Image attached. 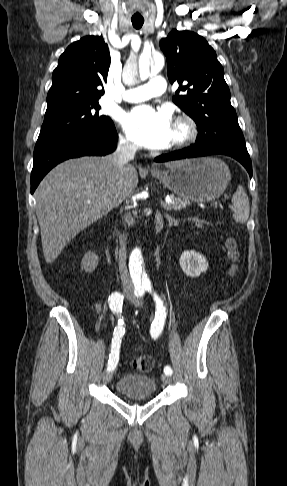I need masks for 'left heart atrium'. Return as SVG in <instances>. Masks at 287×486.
<instances>
[{"instance_id": "obj_1", "label": "left heart atrium", "mask_w": 287, "mask_h": 486, "mask_svg": "<svg viewBox=\"0 0 287 486\" xmlns=\"http://www.w3.org/2000/svg\"><path fill=\"white\" fill-rule=\"evenodd\" d=\"M121 124L128 136L149 149L165 148L172 141L173 123L169 113L139 105L123 114Z\"/></svg>"}]
</instances>
